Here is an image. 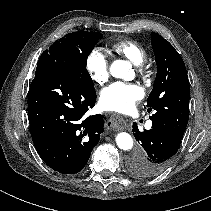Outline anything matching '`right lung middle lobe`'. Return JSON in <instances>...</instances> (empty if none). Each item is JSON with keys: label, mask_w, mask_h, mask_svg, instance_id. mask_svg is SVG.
<instances>
[{"label": "right lung middle lobe", "mask_w": 211, "mask_h": 211, "mask_svg": "<svg viewBox=\"0 0 211 211\" xmlns=\"http://www.w3.org/2000/svg\"><path fill=\"white\" fill-rule=\"evenodd\" d=\"M102 37L99 32L81 30L69 33L44 51L39 61L50 59L56 68L68 73L84 87L95 90L86 64L88 55Z\"/></svg>", "instance_id": "obj_1"}]
</instances>
